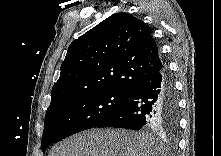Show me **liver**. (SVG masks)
Wrapping results in <instances>:
<instances>
[{
    "mask_svg": "<svg viewBox=\"0 0 221 156\" xmlns=\"http://www.w3.org/2000/svg\"><path fill=\"white\" fill-rule=\"evenodd\" d=\"M160 139L145 132L91 129L55 145L49 156H165Z\"/></svg>",
    "mask_w": 221,
    "mask_h": 156,
    "instance_id": "liver-1",
    "label": "liver"
}]
</instances>
